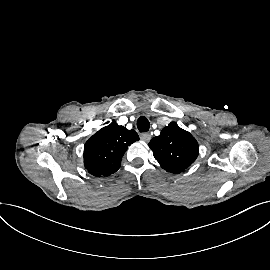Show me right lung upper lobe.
Listing matches in <instances>:
<instances>
[{
  "label": "right lung upper lobe",
  "instance_id": "1",
  "mask_svg": "<svg viewBox=\"0 0 270 270\" xmlns=\"http://www.w3.org/2000/svg\"><path fill=\"white\" fill-rule=\"evenodd\" d=\"M139 140L134 130H127L113 122L95 133L84 146V165L87 171L96 176L115 173L121 159L130 146Z\"/></svg>",
  "mask_w": 270,
  "mask_h": 270
}]
</instances>
